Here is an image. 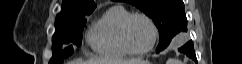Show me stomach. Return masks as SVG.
<instances>
[{
    "label": "stomach",
    "mask_w": 242,
    "mask_h": 64,
    "mask_svg": "<svg viewBox=\"0 0 242 64\" xmlns=\"http://www.w3.org/2000/svg\"><path fill=\"white\" fill-rule=\"evenodd\" d=\"M141 64H150L148 61H145L144 63H141Z\"/></svg>",
    "instance_id": "0dacf381"
}]
</instances>
